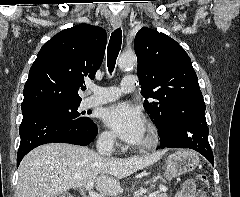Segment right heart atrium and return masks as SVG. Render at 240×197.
I'll return each mask as SVG.
<instances>
[{
  "label": "right heart atrium",
  "instance_id": "right-heart-atrium-1",
  "mask_svg": "<svg viewBox=\"0 0 240 197\" xmlns=\"http://www.w3.org/2000/svg\"><path fill=\"white\" fill-rule=\"evenodd\" d=\"M99 141L106 147H113L116 144V137L111 131H103L100 134Z\"/></svg>",
  "mask_w": 240,
  "mask_h": 197
}]
</instances>
